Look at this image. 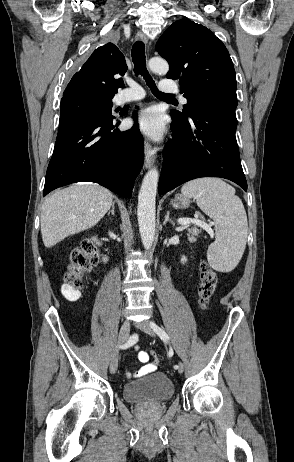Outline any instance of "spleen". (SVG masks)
Here are the masks:
<instances>
[{
	"instance_id": "1",
	"label": "spleen",
	"mask_w": 294,
	"mask_h": 462,
	"mask_svg": "<svg viewBox=\"0 0 294 462\" xmlns=\"http://www.w3.org/2000/svg\"><path fill=\"white\" fill-rule=\"evenodd\" d=\"M182 195L195 198L199 208L215 222L216 239L210 244L207 259L216 271L230 272L239 263L247 241V216L235 189L219 178L187 182Z\"/></svg>"
}]
</instances>
